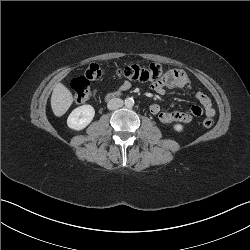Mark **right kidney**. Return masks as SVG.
<instances>
[{
  "label": "right kidney",
  "instance_id": "1",
  "mask_svg": "<svg viewBox=\"0 0 250 250\" xmlns=\"http://www.w3.org/2000/svg\"><path fill=\"white\" fill-rule=\"evenodd\" d=\"M95 110L91 105H82L74 109L67 119V125L73 130H82L93 120Z\"/></svg>",
  "mask_w": 250,
  "mask_h": 250
}]
</instances>
